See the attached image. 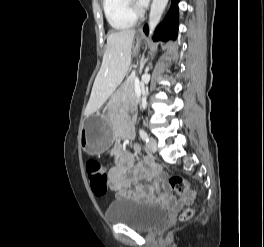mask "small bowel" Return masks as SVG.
<instances>
[{"mask_svg": "<svg viewBox=\"0 0 264 247\" xmlns=\"http://www.w3.org/2000/svg\"><path fill=\"white\" fill-rule=\"evenodd\" d=\"M122 135L125 139L134 135L132 122L127 121L123 125ZM133 150L140 153L141 146L134 144ZM111 155L116 165L109 170V186L116 192L118 199L167 201L171 198L167 175L151 158L135 163L133 156L119 146L113 147ZM143 180L150 183H143Z\"/></svg>", "mask_w": 264, "mask_h": 247, "instance_id": "c3829d8e", "label": "small bowel"}]
</instances>
